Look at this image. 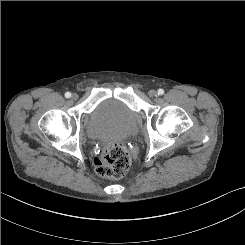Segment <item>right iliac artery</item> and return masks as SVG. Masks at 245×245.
Returning <instances> with one entry per match:
<instances>
[{"label": "right iliac artery", "instance_id": "right-iliac-artery-1", "mask_svg": "<svg viewBox=\"0 0 245 245\" xmlns=\"http://www.w3.org/2000/svg\"><path fill=\"white\" fill-rule=\"evenodd\" d=\"M65 97H66V98H70V97H71V93H70V92H66V93H65Z\"/></svg>", "mask_w": 245, "mask_h": 245}]
</instances>
